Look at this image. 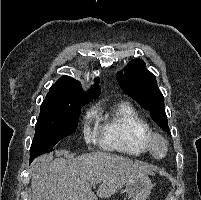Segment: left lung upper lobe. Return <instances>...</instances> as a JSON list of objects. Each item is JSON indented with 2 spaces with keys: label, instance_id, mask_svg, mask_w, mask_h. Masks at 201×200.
I'll return each mask as SVG.
<instances>
[{
  "label": "left lung upper lobe",
  "instance_id": "left-lung-upper-lobe-1",
  "mask_svg": "<svg viewBox=\"0 0 201 200\" xmlns=\"http://www.w3.org/2000/svg\"><path fill=\"white\" fill-rule=\"evenodd\" d=\"M124 71L125 74H116L124 93L148 110L151 118L171 134L167 124L164 97L157 86L156 77L146 69L144 61L140 59L130 61Z\"/></svg>",
  "mask_w": 201,
  "mask_h": 200
}]
</instances>
